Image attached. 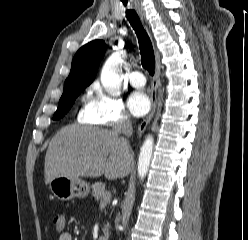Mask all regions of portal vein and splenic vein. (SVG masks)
<instances>
[{"instance_id":"portal-vein-and-splenic-vein-1","label":"portal vein and splenic vein","mask_w":248,"mask_h":240,"mask_svg":"<svg viewBox=\"0 0 248 240\" xmlns=\"http://www.w3.org/2000/svg\"><path fill=\"white\" fill-rule=\"evenodd\" d=\"M108 195H110V193H108ZM100 205H101V207H103V206H104V204H103V203H101Z\"/></svg>"}]
</instances>
